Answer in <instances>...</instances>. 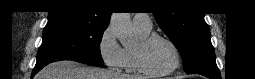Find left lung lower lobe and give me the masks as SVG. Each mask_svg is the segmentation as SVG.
Returning a JSON list of instances; mask_svg holds the SVG:
<instances>
[{
    "instance_id": "0a47b994",
    "label": "left lung lower lobe",
    "mask_w": 255,
    "mask_h": 79,
    "mask_svg": "<svg viewBox=\"0 0 255 79\" xmlns=\"http://www.w3.org/2000/svg\"><path fill=\"white\" fill-rule=\"evenodd\" d=\"M196 74L206 76L210 79H221L219 71H201V72H196Z\"/></svg>"
}]
</instances>
